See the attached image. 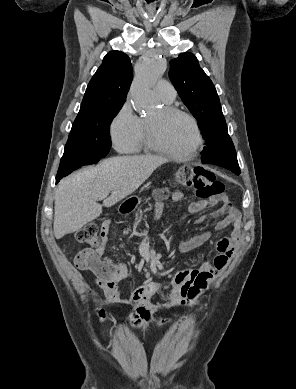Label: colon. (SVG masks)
Returning <instances> with one entry per match:
<instances>
[{
  "label": "colon",
  "instance_id": "obj_1",
  "mask_svg": "<svg viewBox=\"0 0 296 389\" xmlns=\"http://www.w3.org/2000/svg\"><path fill=\"white\" fill-rule=\"evenodd\" d=\"M174 179L178 185L192 188L196 196L208 205L222 202L224 198V184L211 171L202 167H182L175 173ZM101 237L102 230L95 223H88L76 232L77 241L91 247L97 246ZM100 316H103L102 312Z\"/></svg>",
  "mask_w": 296,
  "mask_h": 389
}]
</instances>
